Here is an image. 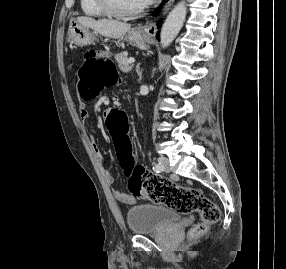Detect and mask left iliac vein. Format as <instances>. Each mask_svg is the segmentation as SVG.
Here are the masks:
<instances>
[{"label":"left iliac vein","instance_id":"4c4485c4","mask_svg":"<svg viewBox=\"0 0 286 269\" xmlns=\"http://www.w3.org/2000/svg\"><path fill=\"white\" fill-rule=\"evenodd\" d=\"M158 162L163 165L165 172H170L169 159L167 157H160Z\"/></svg>","mask_w":286,"mask_h":269}]
</instances>
